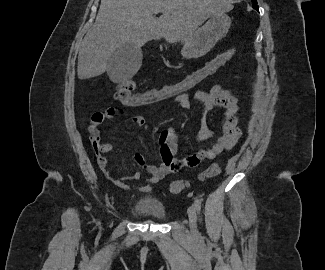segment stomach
<instances>
[{
  "instance_id": "stomach-1",
  "label": "stomach",
  "mask_w": 325,
  "mask_h": 270,
  "mask_svg": "<svg viewBox=\"0 0 325 270\" xmlns=\"http://www.w3.org/2000/svg\"><path fill=\"white\" fill-rule=\"evenodd\" d=\"M231 25V19L225 13L213 15L206 24L196 30L189 40L182 41V55L185 58H198L205 55L223 37Z\"/></svg>"
}]
</instances>
